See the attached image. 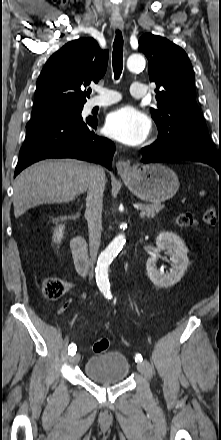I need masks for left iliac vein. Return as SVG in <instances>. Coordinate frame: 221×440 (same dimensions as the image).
Listing matches in <instances>:
<instances>
[{"instance_id": "1", "label": "left iliac vein", "mask_w": 221, "mask_h": 440, "mask_svg": "<svg viewBox=\"0 0 221 440\" xmlns=\"http://www.w3.org/2000/svg\"><path fill=\"white\" fill-rule=\"evenodd\" d=\"M137 368L145 377L151 379L152 371L146 362H138Z\"/></svg>"}]
</instances>
